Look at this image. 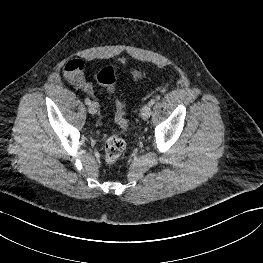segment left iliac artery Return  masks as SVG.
I'll return each instance as SVG.
<instances>
[{
  "label": "left iliac artery",
  "instance_id": "obj_1",
  "mask_svg": "<svg viewBox=\"0 0 263 263\" xmlns=\"http://www.w3.org/2000/svg\"><path fill=\"white\" fill-rule=\"evenodd\" d=\"M154 103H155V100H154V99H151V100L149 101V105H150V106L154 105Z\"/></svg>",
  "mask_w": 263,
  "mask_h": 263
}]
</instances>
